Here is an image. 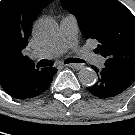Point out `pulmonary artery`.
Segmentation results:
<instances>
[{
    "instance_id": "e3ab8cb5",
    "label": "pulmonary artery",
    "mask_w": 135,
    "mask_h": 135,
    "mask_svg": "<svg viewBox=\"0 0 135 135\" xmlns=\"http://www.w3.org/2000/svg\"><path fill=\"white\" fill-rule=\"evenodd\" d=\"M78 23L77 19L72 15L64 16L60 21V35L59 39L43 48L42 50L33 52L31 58L33 59H53L61 56L67 50H71L79 57L90 61L95 65H101L104 59L93 53L92 51L80 47L77 39Z\"/></svg>"
}]
</instances>
